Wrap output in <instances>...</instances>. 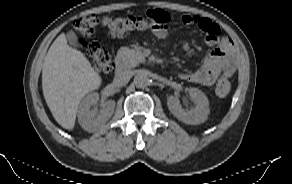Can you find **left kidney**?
I'll list each match as a JSON object with an SVG mask.
<instances>
[{
  "instance_id": "obj_1",
  "label": "left kidney",
  "mask_w": 292,
  "mask_h": 184,
  "mask_svg": "<svg viewBox=\"0 0 292 184\" xmlns=\"http://www.w3.org/2000/svg\"><path fill=\"white\" fill-rule=\"evenodd\" d=\"M189 96L195 102V107L190 110H185L181 107L180 102L174 96L167 98V106L170 112L180 121L197 125L206 121L209 109V101L206 95L197 88H189Z\"/></svg>"
}]
</instances>
